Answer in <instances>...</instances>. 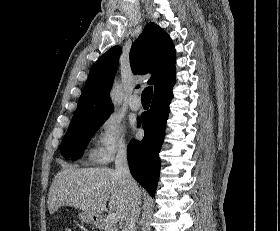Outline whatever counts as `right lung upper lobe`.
<instances>
[{
  "label": "right lung upper lobe",
  "mask_w": 280,
  "mask_h": 231,
  "mask_svg": "<svg viewBox=\"0 0 280 231\" xmlns=\"http://www.w3.org/2000/svg\"><path fill=\"white\" fill-rule=\"evenodd\" d=\"M120 53L121 48L115 46L92 66L70 125L109 117V92ZM130 65L134 74H152L148 83L154 85V96L170 91L175 84V48L169 35L157 24L148 23L131 47Z\"/></svg>",
  "instance_id": "right-lung-upper-lobe-1"
}]
</instances>
